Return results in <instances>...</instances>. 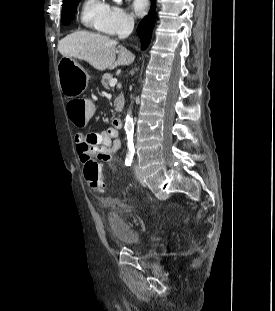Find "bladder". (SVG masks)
<instances>
[{"label":"bladder","instance_id":"obj_1","mask_svg":"<svg viewBox=\"0 0 275 311\" xmlns=\"http://www.w3.org/2000/svg\"><path fill=\"white\" fill-rule=\"evenodd\" d=\"M108 230L119 246H133L139 241L138 232L131 227L119 212L106 215Z\"/></svg>","mask_w":275,"mask_h":311}]
</instances>
